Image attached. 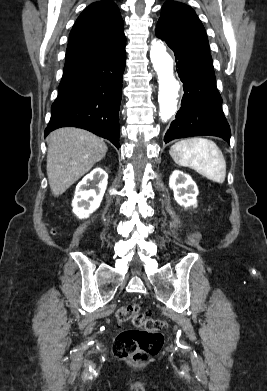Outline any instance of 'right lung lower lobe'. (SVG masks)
<instances>
[{
    "label": "right lung lower lobe",
    "mask_w": 267,
    "mask_h": 391,
    "mask_svg": "<svg viewBox=\"0 0 267 391\" xmlns=\"http://www.w3.org/2000/svg\"><path fill=\"white\" fill-rule=\"evenodd\" d=\"M125 46L64 68L45 136L67 126L83 128L119 144V107Z\"/></svg>",
    "instance_id": "right-lung-lower-lobe-1"
}]
</instances>
